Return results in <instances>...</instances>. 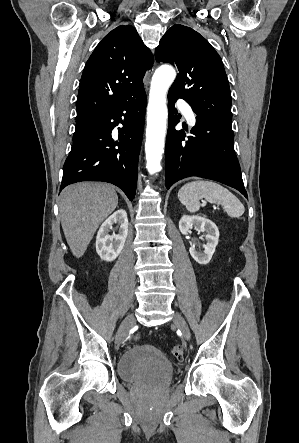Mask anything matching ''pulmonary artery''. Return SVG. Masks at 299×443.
Masks as SVG:
<instances>
[{
	"mask_svg": "<svg viewBox=\"0 0 299 443\" xmlns=\"http://www.w3.org/2000/svg\"><path fill=\"white\" fill-rule=\"evenodd\" d=\"M180 109H181L183 115L185 116L187 122L190 125H194L196 122V116H195L194 112L192 111L191 107L186 102L181 100L180 101Z\"/></svg>",
	"mask_w": 299,
	"mask_h": 443,
	"instance_id": "pulmonary-artery-1",
	"label": "pulmonary artery"
}]
</instances>
